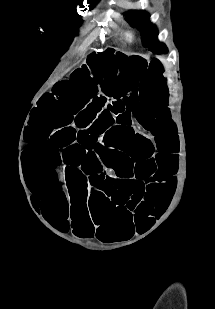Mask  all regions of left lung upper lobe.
<instances>
[{
	"instance_id": "obj_1",
	"label": "left lung upper lobe",
	"mask_w": 215,
	"mask_h": 309,
	"mask_svg": "<svg viewBox=\"0 0 215 309\" xmlns=\"http://www.w3.org/2000/svg\"><path fill=\"white\" fill-rule=\"evenodd\" d=\"M128 21L141 31L142 43L154 53H161L166 50L164 44L157 41V30L151 24L147 23L149 15L145 12L126 13Z\"/></svg>"
}]
</instances>
